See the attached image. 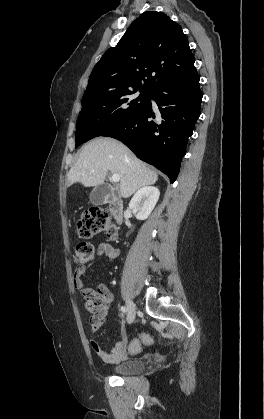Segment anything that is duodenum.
Instances as JSON below:
<instances>
[{"instance_id":"obj_1","label":"duodenum","mask_w":264,"mask_h":419,"mask_svg":"<svg viewBox=\"0 0 264 419\" xmlns=\"http://www.w3.org/2000/svg\"><path fill=\"white\" fill-rule=\"evenodd\" d=\"M109 209L116 223L121 224L124 219V205L122 200L117 197L111 198L109 200Z\"/></svg>"}]
</instances>
